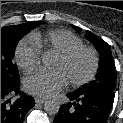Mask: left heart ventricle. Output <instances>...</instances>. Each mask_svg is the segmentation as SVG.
<instances>
[{"label":"left heart ventricle","mask_w":123,"mask_h":123,"mask_svg":"<svg viewBox=\"0 0 123 123\" xmlns=\"http://www.w3.org/2000/svg\"><path fill=\"white\" fill-rule=\"evenodd\" d=\"M54 69L64 72L68 80L84 77L91 68V58L86 53L76 55L74 58L64 61L58 56L53 63Z\"/></svg>","instance_id":"1"}]
</instances>
